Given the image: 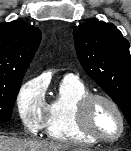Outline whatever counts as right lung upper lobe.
Masks as SVG:
<instances>
[{
    "label": "right lung upper lobe",
    "instance_id": "cb5924a9",
    "mask_svg": "<svg viewBox=\"0 0 131 151\" xmlns=\"http://www.w3.org/2000/svg\"><path fill=\"white\" fill-rule=\"evenodd\" d=\"M41 41V31L22 20L0 23V77H23Z\"/></svg>",
    "mask_w": 131,
    "mask_h": 151
}]
</instances>
